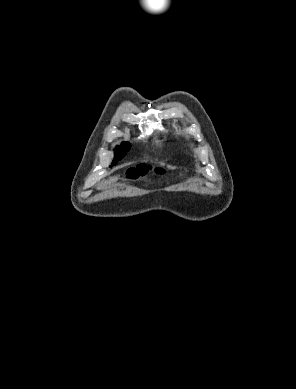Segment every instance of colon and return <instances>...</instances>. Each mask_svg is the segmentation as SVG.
Here are the masks:
<instances>
[{"label": "colon", "instance_id": "5ec220e1", "mask_svg": "<svg viewBox=\"0 0 296 389\" xmlns=\"http://www.w3.org/2000/svg\"><path fill=\"white\" fill-rule=\"evenodd\" d=\"M149 170H150L149 166H147L146 164H140L134 168H131L128 171L127 177L130 180H136L140 177L145 176L149 172Z\"/></svg>", "mask_w": 296, "mask_h": 389}]
</instances>
